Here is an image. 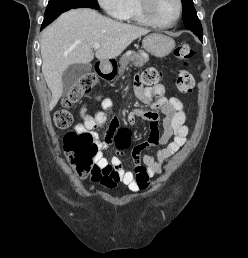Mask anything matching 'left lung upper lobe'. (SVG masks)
Segmentation results:
<instances>
[{
	"label": "left lung upper lobe",
	"mask_w": 248,
	"mask_h": 258,
	"mask_svg": "<svg viewBox=\"0 0 248 258\" xmlns=\"http://www.w3.org/2000/svg\"><path fill=\"white\" fill-rule=\"evenodd\" d=\"M183 4V21L186 28L202 27L197 17L193 0H182Z\"/></svg>",
	"instance_id": "obj_1"
}]
</instances>
